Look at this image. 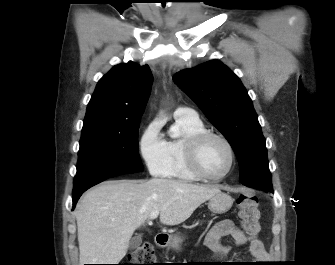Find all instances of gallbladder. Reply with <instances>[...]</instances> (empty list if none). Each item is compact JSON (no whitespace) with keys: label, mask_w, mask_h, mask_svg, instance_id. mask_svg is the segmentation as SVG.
<instances>
[{"label":"gallbladder","mask_w":335,"mask_h":265,"mask_svg":"<svg viewBox=\"0 0 335 265\" xmlns=\"http://www.w3.org/2000/svg\"><path fill=\"white\" fill-rule=\"evenodd\" d=\"M142 243V236L140 234L134 236L129 242V249H137Z\"/></svg>","instance_id":"1"}]
</instances>
